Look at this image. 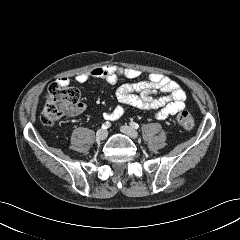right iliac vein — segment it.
Returning <instances> with one entry per match:
<instances>
[{
	"instance_id": "obj_1",
	"label": "right iliac vein",
	"mask_w": 240,
	"mask_h": 240,
	"mask_svg": "<svg viewBox=\"0 0 240 240\" xmlns=\"http://www.w3.org/2000/svg\"><path fill=\"white\" fill-rule=\"evenodd\" d=\"M107 136H108V132H107V130H105V129H100V130H98L97 133H96V138H97V140H99V141L105 140V139L107 138Z\"/></svg>"
}]
</instances>
